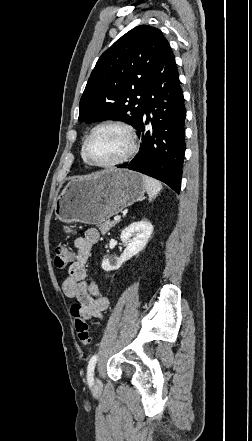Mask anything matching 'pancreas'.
<instances>
[{"label": "pancreas", "mask_w": 252, "mask_h": 441, "mask_svg": "<svg viewBox=\"0 0 252 441\" xmlns=\"http://www.w3.org/2000/svg\"><path fill=\"white\" fill-rule=\"evenodd\" d=\"M117 224L116 221H106L104 223H98L97 227L101 231V233L104 235L106 234L112 227H114Z\"/></svg>", "instance_id": "1"}]
</instances>
